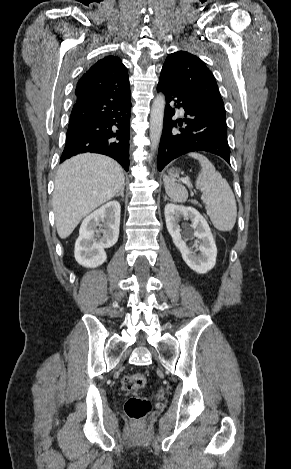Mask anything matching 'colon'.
Returning a JSON list of instances; mask_svg holds the SVG:
<instances>
[{
	"label": "colon",
	"instance_id": "obj_1",
	"mask_svg": "<svg viewBox=\"0 0 291 469\" xmlns=\"http://www.w3.org/2000/svg\"><path fill=\"white\" fill-rule=\"evenodd\" d=\"M146 377L142 373H133L123 378L122 386L132 395L125 403V411L127 415L134 420L143 419L151 409V403L148 399L139 396L136 392L146 385Z\"/></svg>",
	"mask_w": 291,
	"mask_h": 469
}]
</instances>
